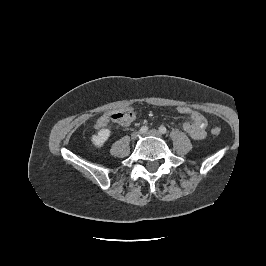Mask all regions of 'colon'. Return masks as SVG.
<instances>
[{
	"label": "colon",
	"instance_id": "1",
	"mask_svg": "<svg viewBox=\"0 0 266 266\" xmlns=\"http://www.w3.org/2000/svg\"><path fill=\"white\" fill-rule=\"evenodd\" d=\"M176 111L179 114L191 116L195 111L186 105H180L176 108ZM135 116V112L133 109H126L122 111H117L111 115V120L118 124H123ZM212 134L218 135L221 132V129L218 127L212 128Z\"/></svg>",
	"mask_w": 266,
	"mask_h": 266
}]
</instances>
